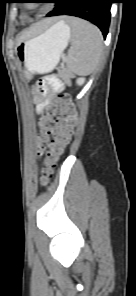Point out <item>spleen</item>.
Instances as JSON below:
<instances>
[{
  "instance_id": "3e777b00",
  "label": "spleen",
  "mask_w": 136,
  "mask_h": 296,
  "mask_svg": "<svg viewBox=\"0 0 136 296\" xmlns=\"http://www.w3.org/2000/svg\"><path fill=\"white\" fill-rule=\"evenodd\" d=\"M68 24L72 39L67 67L76 75H89L96 69L102 54V34L96 26L82 19L69 18Z\"/></svg>"
}]
</instances>
